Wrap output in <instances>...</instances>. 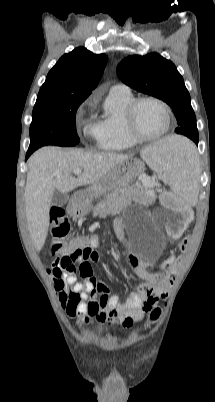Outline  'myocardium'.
<instances>
[{
  "mask_svg": "<svg viewBox=\"0 0 215 402\" xmlns=\"http://www.w3.org/2000/svg\"><path fill=\"white\" fill-rule=\"evenodd\" d=\"M147 101L154 102V103L158 104L159 106H161L167 117L166 128L162 132H160L156 135H145V134L141 133L137 127L136 115H137L138 108L143 102H147ZM124 122H125V128L127 130V133L135 141H137V142L155 141V140H159V139L165 137L170 132L171 127H172V112H171L169 105L158 97H155V96L138 97V98H135L134 100H132L129 103V105L127 106V108L125 110V115H124Z\"/></svg>",
  "mask_w": 215,
  "mask_h": 402,
  "instance_id": "myocardium-1",
  "label": "myocardium"
}]
</instances>
